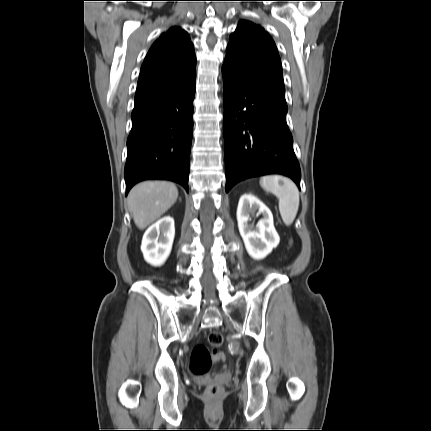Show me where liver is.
Returning <instances> with one entry per match:
<instances>
[{"label": "liver", "mask_w": 431, "mask_h": 431, "mask_svg": "<svg viewBox=\"0 0 431 431\" xmlns=\"http://www.w3.org/2000/svg\"><path fill=\"white\" fill-rule=\"evenodd\" d=\"M178 198L177 187L167 181H145L129 192L127 203L136 226L143 230L158 220Z\"/></svg>", "instance_id": "1"}]
</instances>
